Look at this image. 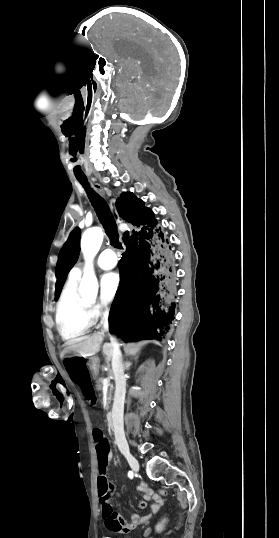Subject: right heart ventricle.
Segmentation results:
<instances>
[{
    "label": "right heart ventricle",
    "mask_w": 279,
    "mask_h": 538,
    "mask_svg": "<svg viewBox=\"0 0 279 538\" xmlns=\"http://www.w3.org/2000/svg\"><path fill=\"white\" fill-rule=\"evenodd\" d=\"M89 234L102 237L104 234L103 226L85 229L82 234V243ZM81 275L82 273L77 276L69 274L56 304L57 330L66 341H71L84 335L95 322L94 305L79 291Z\"/></svg>",
    "instance_id": "e07e8e85"
}]
</instances>
